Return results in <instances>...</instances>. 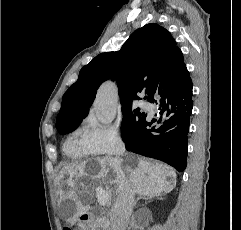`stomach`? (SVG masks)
<instances>
[{
  "label": "stomach",
  "instance_id": "0dacf381",
  "mask_svg": "<svg viewBox=\"0 0 241 230\" xmlns=\"http://www.w3.org/2000/svg\"><path fill=\"white\" fill-rule=\"evenodd\" d=\"M77 230H89V226L86 223L79 221Z\"/></svg>",
  "mask_w": 241,
  "mask_h": 230
}]
</instances>
